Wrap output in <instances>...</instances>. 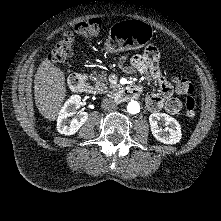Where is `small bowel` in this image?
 Wrapping results in <instances>:
<instances>
[{"label": "small bowel", "mask_w": 221, "mask_h": 221, "mask_svg": "<svg viewBox=\"0 0 221 221\" xmlns=\"http://www.w3.org/2000/svg\"><path fill=\"white\" fill-rule=\"evenodd\" d=\"M151 48H153V46L147 47L143 54L134 55L130 58L123 55L119 59V66L127 73L139 71L145 75L146 79L158 85V90L150 91L146 98V105L150 110L157 111L165 109L169 114H178L182 108V104L180 100L174 96L172 87L160 69L147 55V52Z\"/></svg>", "instance_id": "1"}]
</instances>
